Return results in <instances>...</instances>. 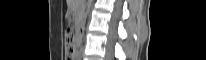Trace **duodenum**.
Here are the masks:
<instances>
[{"mask_svg": "<svg viewBox=\"0 0 206 60\" xmlns=\"http://www.w3.org/2000/svg\"><path fill=\"white\" fill-rule=\"evenodd\" d=\"M76 33H77L78 37H83L84 36L83 30L81 29V27H79V29L76 30Z\"/></svg>", "mask_w": 206, "mask_h": 60, "instance_id": "410a0bca", "label": "duodenum"}]
</instances>
